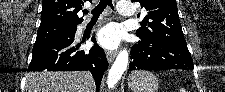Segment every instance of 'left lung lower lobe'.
Returning a JSON list of instances; mask_svg holds the SVG:
<instances>
[{
	"mask_svg": "<svg viewBox=\"0 0 225 92\" xmlns=\"http://www.w3.org/2000/svg\"><path fill=\"white\" fill-rule=\"evenodd\" d=\"M193 61L187 45L143 40L132 47L129 70H164L186 69L192 70Z\"/></svg>",
	"mask_w": 225,
	"mask_h": 92,
	"instance_id": "obj_1",
	"label": "left lung lower lobe"
}]
</instances>
